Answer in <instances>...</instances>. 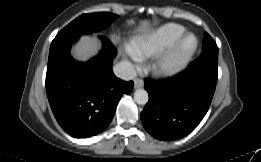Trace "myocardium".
Instances as JSON below:
<instances>
[{
  "label": "myocardium",
  "mask_w": 261,
  "mask_h": 162,
  "mask_svg": "<svg viewBox=\"0 0 261 162\" xmlns=\"http://www.w3.org/2000/svg\"><path fill=\"white\" fill-rule=\"evenodd\" d=\"M191 43L187 45V41ZM198 47V38L193 33H184L156 59L152 70L160 75H173L181 71Z\"/></svg>",
  "instance_id": "obj_1"
}]
</instances>
